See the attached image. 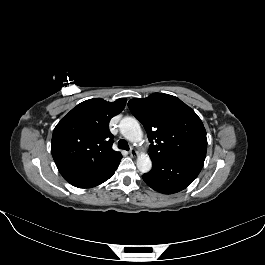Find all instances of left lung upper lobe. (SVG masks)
<instances>
[{
  "label": "left lung upper lobe",
  "instance_id": "left-lung-upper-lobe-1",
  "mask_svg": "<svg viewBox=\"0 0 265 265\" xmlns=\"http://www.w3.org/2000/svg\"><path fill=\"white\" fill-rule=\"evenodd\" d=\"M128 107L147 132L151 159L206 151L207 138L202 121L177 97L153 93L144 99H131Z\"/></svg>",
  "mask_w": 265,
  "mask_h": 265
}]
</instances>
